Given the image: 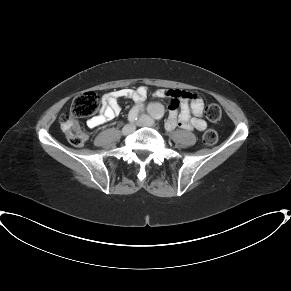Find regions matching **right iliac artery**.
<instances>
[{"label": "right iliac artery", "mask_w": 291, "mask_h": 291, "mask_svg": "<svg viewBox=\"0 0 291 291\" xmlns=\"http://www.w3.org/2000/svg\"><path fill=\"white\" fill-rule=\"evenodd\" d=\"M138 117V110L134 107L130 110L128 114V120L130 123H134Z\"/></svg>", "instance_id": "82829eb1"}]
</instances>
